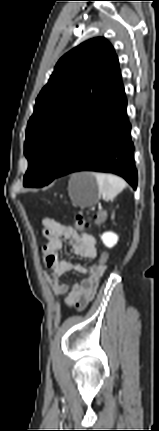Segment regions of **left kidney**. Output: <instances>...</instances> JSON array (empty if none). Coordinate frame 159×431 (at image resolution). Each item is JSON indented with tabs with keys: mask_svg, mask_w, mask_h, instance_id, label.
<instances>
[{
	"mask_svg": "<svg viewBox=\"0 0 159 431\" xmlns=\"http://www.w3.org/2000/svg\"><path fill=\"white\" fill-rule=\"evenodd\" d=\"M101 239L105 246H107L108 248H112L114 245H116L118 241V236L113 232H105L101 236Z\"/></svg>",
	"mask_w": 159,
	"mask_h": 431,
	"instance_id": "1",
	"label": "left kidney"
}]
</instances>
